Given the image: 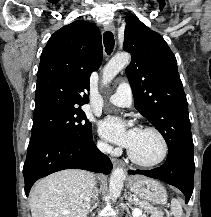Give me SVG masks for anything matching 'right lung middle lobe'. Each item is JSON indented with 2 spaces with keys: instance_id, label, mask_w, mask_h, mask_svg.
Here are the masks:
<instances>
[{
  "instance_id": "right-lung-middle-lobe-1",
  "label": "right lung middle lobe",
  "mask_w": 211,
  "mask_h": 217,
  "mask_svg": "<svg viewBox=\"0 0 211 217\" xmlns=\"http://www.w3.org/2000/svg\"><path fill=\"white\" fill-rule=\"evenodd\" d=\"M31 135H55L77 143L92 140V125L83 110L50 112L34 118Z\"/></svg>"
}]
</instances>
